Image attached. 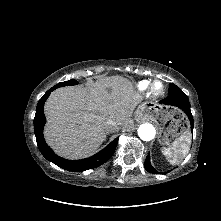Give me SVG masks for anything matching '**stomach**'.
<instances>
[{
	"instance_id": "0dacf381",
	"label": "stomach",
	"mask_w": 221,
	"mask_h": 221,
	"mask_svg": "<svg viewBox=\"0 0 221 221\" xmlns=\"http://www.w3.org/2000/svg\"><path fill=\"white\" fill-rule=\"evenodd\" d=\"M136 117L138 120H150L156 123L158 140L163 145H170L178 137L188 132L185 116L171 106L147 101L138 107Z\"/></svg>"
}]
</instances>
